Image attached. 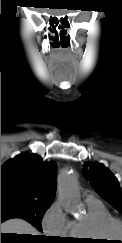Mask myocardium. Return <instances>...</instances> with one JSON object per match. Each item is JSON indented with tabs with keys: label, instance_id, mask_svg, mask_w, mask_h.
Listing matches in <instances>:
<instances>
[{
	"label": "myocardium",
	"instance_id": "f54148a6",
	"mask_svg": "<svg viewBox=\"0 0 122 243\" xmlns=\"http://www.w3.org/2000/svg\"><path fill=\"white\" fill-rule=\"evenodd\" d=\"M99 235L103 238L112 237L111 234L114 228H119L122 230V221L116 218H110L102 221L99 226Z\"/></svg>",
	"mask_w": 122,
	"mask_h": 243
}]
</instances>
